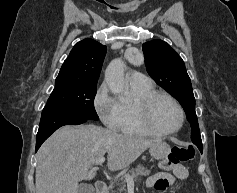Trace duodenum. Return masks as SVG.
I'll use <instances>...</instances> for the list:
<instances>
[{
  "instance_id": "410a0bca",
  "label": "duodenum",
  "mask_w": 237,
  "mask_h": 193,
  "mask_svg": "<svg viewBox=\"0 0 237 193\" xmlns=\"http://www.w3.org/2000/svg\"><path fill=\"white\" fill-rule=\"evenodd\" d=\"M96 193H107V185L104 181H97L95 183Z\"/></svg>"
}]
</instances>
